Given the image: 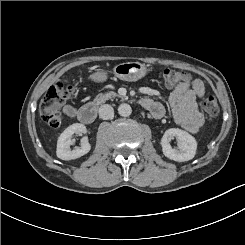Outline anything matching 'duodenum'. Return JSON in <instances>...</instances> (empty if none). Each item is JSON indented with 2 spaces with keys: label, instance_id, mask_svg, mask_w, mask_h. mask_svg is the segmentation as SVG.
<instances>
[{
  "label": "duodenum",
  "instance_id": "duodenum-1",
  "mask_svg": "<svg viewBox=\"0 0 245 245\" xmlns=\"http://www.w3.org/2000/svg\"><path fill=\"white\" fill-rule=\"evenodd\" d=\"M97 116V111L94 105L86 104L80 108L78 111V119L85 123L90 124L94 122Z\"/></svg>",
  "mask_w": 245,
  "mask_h": 245
}]
</instances>
